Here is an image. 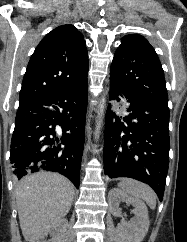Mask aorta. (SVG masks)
<instances>
[{"label":"aorta","mask_w":187,"mask_h":242,"mask_svg":"<svg viewBox=\"0 0 187 242\" xmlns=\"http://www.w3.org/2000/svg\"><path fill=\"white\" fill-rule=\"evenodd\" d=\"M104 102H105V99L102 98V99H101V103H100V113H101V115H102V113H103ZM99 128H100V122L97 123V130H98Z\"/></svg>","instance_id":"762f6f07"}]
</instances>
